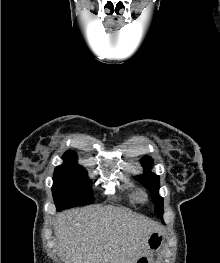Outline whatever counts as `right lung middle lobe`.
Returning a JSON list of instances; mask_svg holds the SVG:
<instances>
[{"label": "right lung middle lobe", "mask_w": 220, "mask_h": 263, "mask_svg": "<svg viewBox=\"0 0 220 263\" xmlns=\"http://www.w3.org/2000/svg\"><path fill=\"white\" fill-rule=\"evenodd\" d=\"M63 160L53 176L52 192L57 210L92 203L91 181L86 178V170L77 164V156L64 155Z\"/></svg>", "instance_id": "obj_1"}]
</instances>
